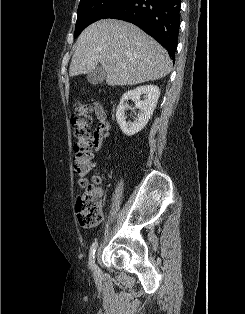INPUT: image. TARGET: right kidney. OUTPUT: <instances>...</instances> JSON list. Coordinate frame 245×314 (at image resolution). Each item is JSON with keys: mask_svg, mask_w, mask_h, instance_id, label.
Returning a JSON list of instances; mask_svg holds the SVG:
<instances>
[{"mask_svg": "<svg viewBox=\"0 0 245 314\" xmlns=\"http://www.w3.org/2000/svg\"><path fill=\"white\" fill-rule=\"evenodd\" d=\"M143 96V100H141ZM160 96V90L154 85H145L137 87L134 90L126 92L117 107L116 120L120 129L126 136H133L140 132L150 120ZM133 100L135 107L139 109L137 118L134 122H126L125 101Z\"/></svg>", "mask_w": 245, "mask_h": 314, "instance_id": "ca27d5eb", "label": "right kidney"}]
</instances>
